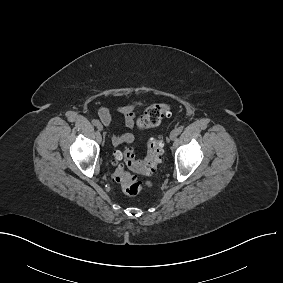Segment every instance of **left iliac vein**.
Returning a JSON list of instances; mask_svg holds the SVG:
<instances>
[{
  "mask_svg": "<svg viewBox=\"0 0 283 283\" xmlns=\"http://www.w3.org/2000/svg\"><path fill=\"white\" fill-rule=\"evenodd\" d=\"M177 136H178L177 130L171 131V133H170V139L171 140H175L177 138Z\"/></svg>",
  "mask_w": 283,
  "mask_h": 283,
  "instance_id": "obj_1",
  "label": "left iliac vein"
}]
</instances>
